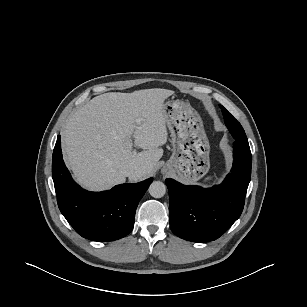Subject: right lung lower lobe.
Listing matches in <instances>:
<instances>
[{
	"label": "right lung lower lobe",
	"mask_w": 307,
	"mask_h": 307,
	"mask_svg": "<svg viewBox=\"0 0 307 307\" xmlns=\"http://www.w3.org/2000/svg\"><path fill=\"white\" fill-rule=\"evenodd\" d=\"M58 136L52 160V177L58 207L75 231L94 241H113L128 235L135 211L153 179L120 184L104 192H89L76 184L67 170Z\"/></svg>",
	"instance_id": "obj_1"
}]
</instances>
